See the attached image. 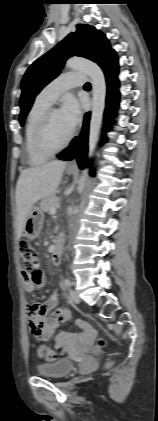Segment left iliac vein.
<instances>
[{
	"label": "left iliac vein",
	"instance_id": "obj_1",
	"mask_svg": "<svg viewBox=\"0 0 158 421\" xmlns=\"http://www.w3.org/2000/svg\"><path fill=\"white\" fill-rule=\"evenodd\" d=\"M70 297H71L73 302H75V303L80 302V299H79L77 293L74 290H70Z\"/></svg>",
	"mask_w": 158,
	"mask_h": 421
}]
</instances>
